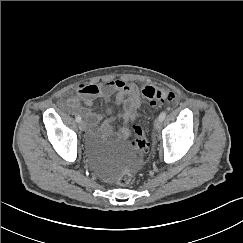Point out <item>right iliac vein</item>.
Here are the masks:
<instances>
[{"mask_svg":"<svg viewBox=\"0 0 243 243\" xmlns=\"http://www.w3.org/2000/svg\"><path fill=\"white\" fill-rule=\"evenodd\" d=\"M79 129H80L81 131H85V129H86V123H85L84 121H81V122L79 123Z\"/></svg>","mask_w":243,"mask_h":243,"instance_id":"obj_1","label":"right iliac vein"}]
</instances>
